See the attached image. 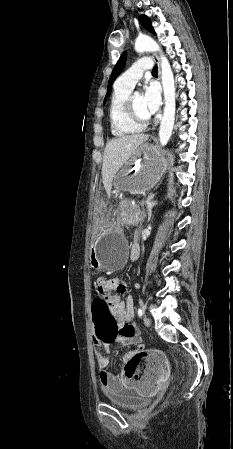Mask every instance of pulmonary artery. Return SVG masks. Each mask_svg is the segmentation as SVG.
<instances>
[{"label": "pulmonary artery", "mask_w": 233, "mask_h": 449, "mask_svg": "<svg viewBox=\"0 0 233 449\" xmlns=\"http://www.w3.org/2000/svg\"><path fill=\"white\" fill-rule=\"evenodd\" d=\"M152 67L153 63L149 58H141L117 79L116 84L133 89L142 74L152 69Z\"/></svg>", "instance_id": "obj_1"}]
</instances>
